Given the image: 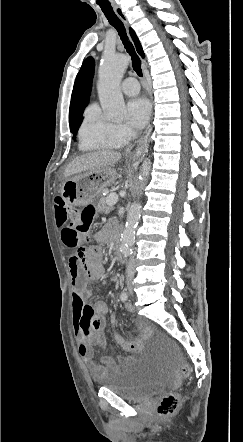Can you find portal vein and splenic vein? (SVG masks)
<instances>
[{
    "label": "portal vein and splenic vein",
    "mask_w": 243,
    "mask_h": 442,
    "mask_svg": "<svg viewBox=\"0 0 243 442\" xmlns=\"http://www.w3.org/2000/svg\"><path fill=\"white\" fill-rule=\"evenodd\" d=\"M118 201V195L117 194H110V196L107 199V202L110 206H113Z\"/></svg>",
    "instance_id": "obj_1"
}]
</instances>
